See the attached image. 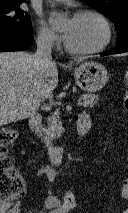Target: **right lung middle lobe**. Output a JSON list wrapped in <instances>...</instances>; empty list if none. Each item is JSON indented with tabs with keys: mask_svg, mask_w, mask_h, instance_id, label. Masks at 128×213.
Returning a JSON list of instances; mask_svg holds the SVG:
<instances>
[{
	"mask_svg": "<svg viewBox=\"0 0 128 213\" xmlns=\"http://www.w3.org/2000/svg\"><path fill=\"white\" fill-rule=\"evenodd\" d=\"M32 33L30 18L20 4L0 5V34Z\"/></svg>",
	"mask_w": 128,
	"mask_h": 213,
	"instance_id": "right-lung-middle-lobe-1",
	"label": "right lung middle lobe"
}]
</instances>
